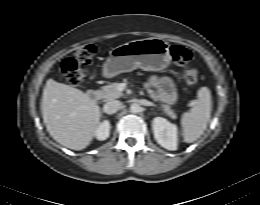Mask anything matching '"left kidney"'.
<instances>
[{
	"instance_id": "1",
	"label": "left kidney",
	"mask_w": 260,
	"mask_h": 205,
	"mask_svg": "<svg viewBox=\"0 0 260 205\" xmlns=\"http://www.w3.org/2000/svg\"><path fill=\"white\" fill-rule=\"evenodd\" d=\"M154 138L167 150H177L178 130L175 124L162 117H156L152 121Z\"/></svg>"
}]
</instances>
